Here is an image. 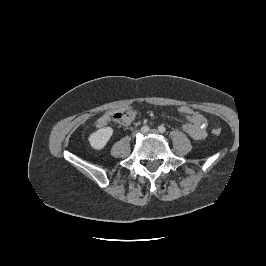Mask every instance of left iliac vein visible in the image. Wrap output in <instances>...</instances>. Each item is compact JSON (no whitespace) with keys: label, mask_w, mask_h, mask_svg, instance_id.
Segmentation results:
<instances>
[{"label":"left iliac vein","mask_w":266,"mask_h":266,"mask_svg":"<svg viewBox=\"0 0 266 266\" xmlns=\"http://www.w3.org/2000/svg\"><path fill=\"white\" fill-rule=\"evenodd\" d=\"M149 134H153V135H158L159 132L156 129H151L149 132Z\"/></svg>","instance_id":"4c4485c4"}]
</instances>
